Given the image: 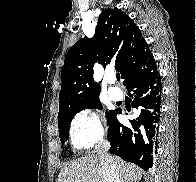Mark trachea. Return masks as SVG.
Returning <instances> with one entry per match:
<instances>
[{"label":"trachea","mask_w":196,"mask_h":182,"mask_svg":"<svg viewBox=\"0 0 196 182\" xmlns=\"http://www.w3.org/2000/svg\"><path fill=\"white\" fill-rule=\"evenodd\" d=\"M116 78L119 81L120 80V74H116Z\"/></svg>","instance_id":"1"}]
</instances>
